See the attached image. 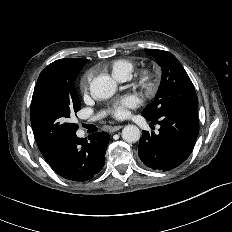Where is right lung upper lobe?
Segmentation results:
<instances>
[{"label":"right lung upper lobe","mask_w":232,"mask_h":232,"mask_svg":"<svg viewBox=\"0 0 232 232\" xmlns=\"http://www.w3.org/2000/svg\"><path fill=\"white\" fill-rule=\"evenodd\" d=\"M66 59H70V58H66ZM61 60H63V59H61ZM53 154H54V152L49 153V154H42V155L45 158V160L48 161V160L51 159V157L53 156Z\"/></svg>","instance_id":"obj_1"}]
</instances>
